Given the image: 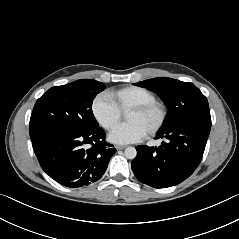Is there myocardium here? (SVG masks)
<instances>
[{
  "label": "myocardium",
  "mask_w": 239,
  "mask_h": 239,
  "mask_svg": "<svg viewBox=\"0 0 239 239\" xmlns=\"http://www.w3.org/2000/svg\"><path fill=\"white\" fill-rule=\"evenodd\" d=\"M128 112L136 113H151L154 112L157 114V121L154 126L147 132L149 136L157 134L161 128L164 126L167 119V110L166 107L159 102H151L146 104H141L132 107Z\"/></svg>",
  "instance_id": "1"
}]
</instances>
